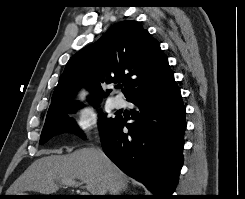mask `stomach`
I'll return each instance as SVG.
<instances>
[{
    "label": "stomach",
    "mask_w": 245,
    "mask_h": 199,
    "mask_svg": "<svg viewBox=\"0 0 245 199\" xmlns=\"http://www.w3.org/2000/svg\"><path fill=\"white\" fill-rule=\"evenodd\" d=\"M20 195H28V194H23V193H22V194H20Z\"/></svg>",
    "instance_id": "0dacf381"
}]
</instances>
